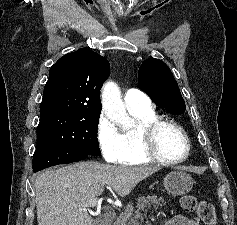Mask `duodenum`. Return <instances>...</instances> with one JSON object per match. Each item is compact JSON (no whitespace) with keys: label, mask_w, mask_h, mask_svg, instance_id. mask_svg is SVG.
I'll use <instances>...</instances> for the list:
<instances>
[{"label":"duodenum","mask_w":237,"mask_h":225,"mask_svg":"<svg viewBox=\"0 0 237 225\" xmlns=\"http://www.w3.org/2000/svg\"><path fill=\"white\" fill-rule=\"evenodd\" d=\"M112 225H122V222L120 219H116L114 220V222L112 223Z\"/></svg>","instance_id":"duodenum-1"}]
</instances>
